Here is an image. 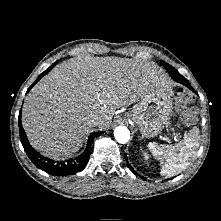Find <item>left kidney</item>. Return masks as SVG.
I'll return each instance as SVG.
<instances>
[{"instance_id": "left-kidney-1", "label": "left kidney", "mask_w": 221, "mask_h": 221, "mask_svg": "<svg viewBox=\"0 0 221 221\" xmlns=\"http://www.w3.org/2000/svg\"><path fill=\"white\" fill-rule=\"evenodd\" d=\"M143 155H144V158H145L146 160L149 159V155H148L147 152H144V151H143Z\"/></svg>"}]
</instances>
